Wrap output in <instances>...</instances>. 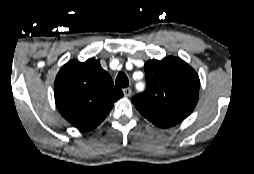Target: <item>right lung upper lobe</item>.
<instances>
[{
  "label": "right lung upper lobe",
  "mask_w": 254,
  "mask_h": 174,
  "mask_svg": "<svg viewBox=\"0 0 254 174\" xmlns=\"http://www.w3.org/2000/svg\"><path fill=\"white\" fill-rule=\"evenodd\" d=\"M55 102L61 115L80 130H92L123 96L100 62L71 60L58 72L54 83Z\"/></svg>",
  "instance_id": "obj_1"
}]
</instances>
